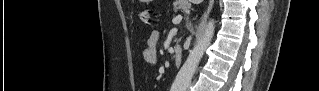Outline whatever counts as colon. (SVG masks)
Listing matches in <instances>:
<instances>
[{"instance_id": "obj_1", "label": "colon", "mask_w": 319, "mask_h": 91, "mask_svg": "<svg viewBox=\"0 0 319 91\" xmlns=\"http://www.w3.org/2000/svg\"><path fill=\"white\" fill-rule=\"evenodd\" d=\"M139 19L140 21L145 24V25H151L153 20H152V11L149 8H144L142 9L139 14Z\"/></svg>"}]
</instances>
